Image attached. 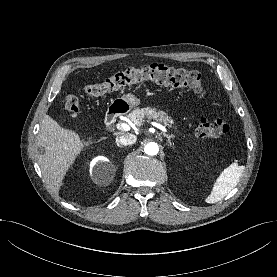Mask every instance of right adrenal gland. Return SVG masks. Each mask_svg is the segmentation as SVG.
Instances as JSON below:
<instances>
[{"mask_svg":"<svg viewBox=\"0 0 277 277\" xmlns=\"http://www.w3.org/2000/svg\"><path fill=\"white\" fill-rule=\"evenodd\" d=\"M116 144H117V146H118V147H120V148H121V147H123V146H122V145H120L119 143H116Z\"/></svg>","mask_w":277,"mask_h":277,"instance_id":"2a0ac1e0","label":"right adrenal gland"}]
</instances>
